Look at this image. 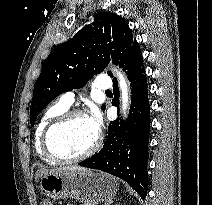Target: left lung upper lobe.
Listing matches in <instances>:
<instances>
[{"mask_svg":"<svg viewBox=\"0 0 212 205\" xmlns=\"http://www.w3.org/2000/svg\"><path fill=\"white\" fill-rule=\"evenodd\" d=\"M127 21L115 13L99 12L94 22L55 47L45 59L34 85L30 122L58 95L81 88L102 72L109 61L122 66L134 42ZM108 75L112 76L111 72ZM105 109V106H102Z\"/></svg>","mask_w":212,"mask_h":205,"instance_id":"1","label":"left lung upper lobe"}]
</instances>
